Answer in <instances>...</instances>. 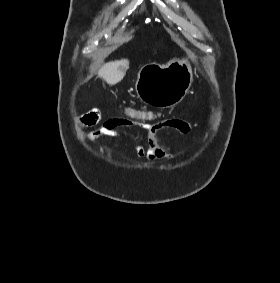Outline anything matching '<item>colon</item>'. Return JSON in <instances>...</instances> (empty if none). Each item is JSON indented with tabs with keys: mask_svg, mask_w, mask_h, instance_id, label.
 Returning a JSON list of instances; mask_svg holds the SVG:
<instances>
[{
	"mask_svg": "<svg viewBox=\"0 0 280 283\" xmlns=\"http://www.w3.org/2000/svg\"><path fill=\"white\" fill-rule=\"evenodd\" d=\"M123 115L129 122H152L153 119L158 118L160 112L154 111L153 108H144L142 111L141 107H129L124 109Z\"/></svg>",
	"mask_w": 280,
	"mask_h": 283,
	"instance_id": "colon-1",
	"label": "colon"
}]
</instances>
